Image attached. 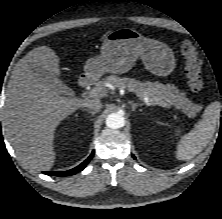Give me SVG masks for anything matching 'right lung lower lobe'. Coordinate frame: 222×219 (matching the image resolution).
<instances>
[{"mask_svg":"<svg viewBox=\"0 0 222 219\" xmlns=\"http://www.w3.org/2000/svg\"><path fill=\"white\" fill-rule=\"evenodd\" d=\"M93 155H94V151L91 153V155L84 162H82L79 166H77V167H75L71 170L63 171V172H60V171H45L43 173L46 174V175H50V176H70V175L76 174V173L80 172L81 170H83L86 167L88 162L92 159Z\"/></svg>","mask_w":222,"mask_h":219,"instance_id":"98d812e1","label":"right lung lower lobe"}]
</instances>
